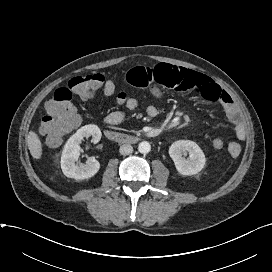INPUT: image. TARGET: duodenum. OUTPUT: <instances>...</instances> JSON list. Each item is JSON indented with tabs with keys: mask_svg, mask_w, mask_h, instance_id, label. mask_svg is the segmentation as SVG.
I'll list each match as a JSON object with an SVG mask.
<instances>
[{
	"mask_svg": "<svg viewBox=\"0 0 272 272\" xmlns=\"http://www.w3.org/2000/svg\"><path fill=\"white\" fill-rule=\"evenodd\" d=\"M104 134L107 139L117 143L133 144L139 141L137 136L124 134L113 130H105Z\"/></svg>",
	"mask_w": 272,
	"mask_h": 272,
	"instance_id": "duodenum-1",
	"label": "duodenum"
}]
</instances>
